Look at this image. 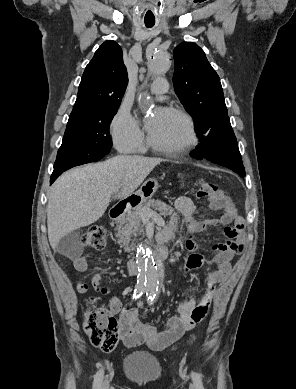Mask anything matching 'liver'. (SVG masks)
Returning <instances> with one entry per match:
<instances>
[{"label": "liver", "mask_w": 296, "mask_h": 389, "mask_svg": "<svg viewBox=\"0 0 296 389\" xmlns=\"http://www.w3.org/2000/svg\"><path fill=\"white\" fill-rule=\"evenodd\" d=\"M162 161L160 158L119 155L60 176L52 186L47 205L48 238L52 249L55 251L65 235L101 218L112 194L118 199L132 194Z\"/></svg>", "instance_id": "obj_1"}]
</instances>
